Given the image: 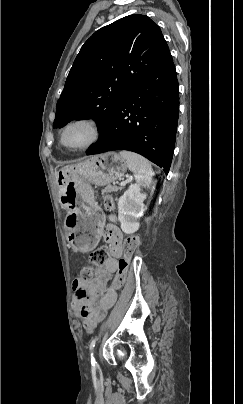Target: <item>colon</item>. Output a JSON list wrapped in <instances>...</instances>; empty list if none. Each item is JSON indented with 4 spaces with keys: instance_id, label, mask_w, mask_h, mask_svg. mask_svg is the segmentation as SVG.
<instances>
[{
    "instance_id": "obj_1",
    "label": "colon",
    "mask_w": 243,
    "mask_h": 404,
    "mask_svg": "<svg viewBox=\"0 0 243 404\" xmlns=\"http://www.w3.org/2000/svg\"><path fill=\"white\" fill-rule=\"evenodd\" d=\"M105 205L108 209L112 210L114 208V201L111 197L107 196L105 198ZM141 245V238L137 235L127 237L122 244V254L118 262V271L115 276L114 286L117 288L122 287L126 280L128 274L129 264L131 259L136 252V250ZM108 258V251L106 247H101L96 251L92 252L90 255V265H86L80 274L79 280L86 282L91 279L96 274L95 267L102 265ZM105 316L99 317V322H101Z\"/></svg>"
}]
</instances>
